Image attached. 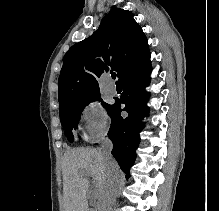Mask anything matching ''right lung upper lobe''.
Instances as JSON below:
<instances>
[{
    "mask_svg": "<svg viewBox=\"0 0 219 211\" xmlns=\"http://www.w3.org/2000/svg\"><path fill=\"white\" fill-rule=\"evenodd\" d=\"M148 59V41L133 15L111 9L96 32L65 54L58 81L59 106L99 95V81L109 69L116 70L120 81Z\"/></svg>",
    "mask_w": 219,
    "mask_h": 211,
    "instance_id": "cb5924a9",
    "label": "right lung upper lobe"
}]
</instances>
